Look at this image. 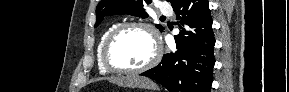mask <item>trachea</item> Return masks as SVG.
<instances>
[{
	"instance_id": "obj_1",
	"label": "trachea",
	"mask_w": 289,
	"mask_h": 92,
	"mask_svg": "<svg viewBox=\"0 0 289 92\" xmlns=\"http://www.w3.org/2000/svg\"><path fill=\"white\" fill-rule=\"evenodd\" d=\"M161 18H165V16H161Z\"/></svg>"
}]
</instances>
